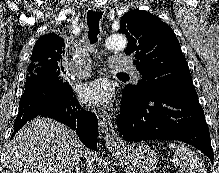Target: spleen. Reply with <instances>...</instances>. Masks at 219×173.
<instances>
[{"label":"spleen","mask_w":219,"mask_h":173,"mask_svg":"<svg viewBox=\"0 0 219 173\" xmlns=\"http://www.w3.org/2000/svg\"><path fill=\"white\" fill-rule=\"evenodd\" d=\"M173 149V162L180 173H207L203 163L194 151L185 145L170 144Z\"/></svg>","instance_id":"1"}]
</instances>
